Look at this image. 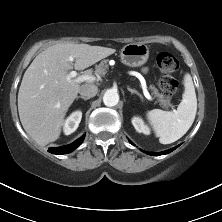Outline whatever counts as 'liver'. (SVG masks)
I'll list each match as a JSON object with an SVG mask.
<instances>
[{
    "mask_svg": "<svg viewBox=\"0 0 222 222\" xmlns=\"http://www.w3.org/2000/svg\"><path fill=\"white\" fill-rule=\"evenodd\" d=\"M114 52L108 47L61 43L36 56L18 92L20 121L36 143L47 145L61 134L65 115L82 86L75 79H67L68 70H84ZM85 75L91 76V72Z\"/></svg>",
    "mask_w": 222,
    "mask_h": 222,
    "instance_id": "liver-1",
    "label": "liver"
}]
</instances>
